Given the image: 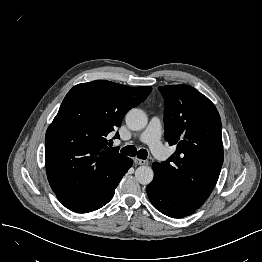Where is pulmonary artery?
Returning a JSON list of instances; mask_svg holds the SVG:
<instances>
[{
  "instance_id": "1",
  "label": "pulmonary artery",
  "mask_w": 262,
  "mask_h": 262,
  "mask_svg": "<svg viewBox=\"0 0 262 262\" xmlns=\"http://www.w3.org/2000/svg\"><path fill=\"white\" fill-rule=\"evenodd\" d=\"M162 124L158 117L154 116L150 119L147 128L140 134L139 140L149 145L152 153L161 160L167 158L164 145L161 142Z\"/></svg>"
}]
</instances>
